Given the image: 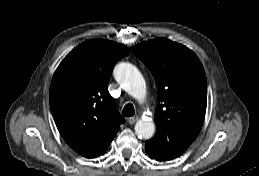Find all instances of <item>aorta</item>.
<instances>
[{
	"mask_svg": "<svg viewBox=\"0 0 259 176\" xmlns=\"http://www.w3.org/2000/svg\"><path fill=\"white\" fill-rule=\"evenodd\" d=\"M114 77L128 94L140 101L145 99V80L134 65L127 62L117 64ZM135 132L140 138L150 139L154 135L155 124L151 119H140L135 124Z\"/></svg>",
	"mask_w": 259,
	"mask_h": 176,
	"instance_id": "1",
	"label": "aorta"
}]
</instances>
